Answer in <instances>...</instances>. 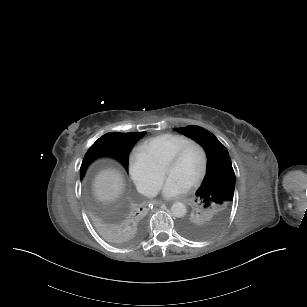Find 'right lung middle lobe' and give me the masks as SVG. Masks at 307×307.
Wrapping results in <instances>:
<instances>
[{
	"label": "right lung middle lobe",
	"instance_id": "right-lung-middle-lobe-1",
	"mask_svg": "<svg viewBox=\"0 0 307 307\" xmlns=\"http://www.w3.org/2000/svg\"><path fill=\"white\" fill-rule=\"evenodd\" d=\"M138 140L139 139L125 140L120 138H110L103 135L87 151L80 169L81 177H83L89 163L95 158L103 155L115 157L127 169L129 152Z\"/></svg>",
	"mask_w": 307,
	"mask_h": 307
}]
</instances>
